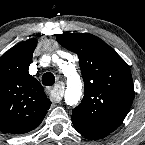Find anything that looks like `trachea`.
I'll return each instance as SVG.
<instances>
[{
  "label": "trachea",
  "mask_w": 145,
  "mask_h": 145,
  "mask_svg": "<svg viewBox=\"0 0 145 145\" xmlns=\"http://www.w3.org/2000/svg\"><path fill=\"white\" fill-rule=\"evenodd\" d=\"M42 83L45 86H52L55 83V76L50 72L45 73L42 76Z\"/></svg>",
  "instance_id": "1"
}]
</instances>
